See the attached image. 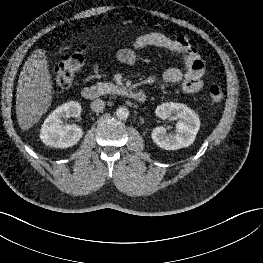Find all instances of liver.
Segmentation results:
<instances>
[{"label": "liver", "mask_w": 263, "mask_h": 263, "mask_svg": "<svg viewBox=\"0 0 263 263\" xmlns=\"http://www.w3.org/2000/svg\"><path fill=\"white\" fill-rule=\"evenodd\" d=\"M52 88L45 51L34 50L19 75L16 93V115L23 131L33 127L48 110Z\"/></svg>", "instance_id": "liver-1"}]
</instances>
